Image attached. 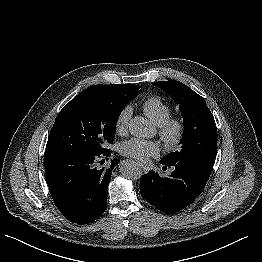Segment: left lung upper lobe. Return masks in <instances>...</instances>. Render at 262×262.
<instances>
[{
    "mask_svg": "<svg viewBox=\"0 0 262 262\" xmlns=\"http://www.w3.org/2000/svg\"><path fill=\"white\" fill-rule=\"evenodd\" d=\"M159 87L179 104L184 122L181 149L161 159L168 166L197 164L213 167L217 153V127L203 97L179 81H159Z\"/></svg>",
    "mask_w": 262,
    "mask_h": 262,
    "instance_id": "left-lung-upper-lobe-1",
    "label": "left lung upper lobe"
}]
</instances>
